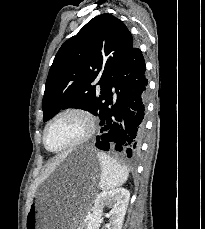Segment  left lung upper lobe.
<instances>
[{"label":"left lung upper lobe","instance_id":"obj_1","mask_svg":"<svg viewBox=\"0 0 205 229\" xmlns=\"http://www.w3.org/2000/svg\"><path fill=\"white\" fill-rule=\"evenodd\" d=\"M126 25L111 14L91 19L63 43L50 68L42 102L43 121L61 109H84L99 117L118 68L133 48ZM98 80L101 91L92 85Z\"/></svg>","mask_w":205,"mask_h":229}]
</instances>
